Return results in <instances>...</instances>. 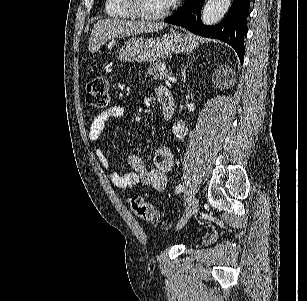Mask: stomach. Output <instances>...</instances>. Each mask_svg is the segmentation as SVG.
<instances>
[{"mask_svg": "<svg viewBox=\"0 0 307 301\" xmlns=\"http://www.w3.org/2000/svg\"><path fill=\"white\" fill-rule=\"evenodd\" d=\"M197 44L189 32H168L157 38L132 36L121 46L117 58L120 62H161L170 54L191 52Z\"/></svg>", "mask_w": 307, "mask_h": 301, "instance_id": "obj_1", "label": "stomach"}]
</instances>
